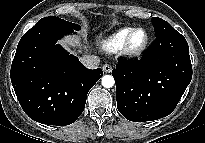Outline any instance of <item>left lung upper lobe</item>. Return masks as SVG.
Listing matches in <instances>:
<instances>
[{
	"instance_id": "left-lung-upper-lobe-1",
	"label": "left lung upper lobe",
	"mask_w": 205,
	"mask_h": 143,
	"mask_svg": "<svg viewBox=\"0 0 205 143\" xmlns=\"http://www.w3.org/2000/svg\"><path fill=\"white\" fill-rule=\"evenodd\" d=\"M152 22L155 28L156 37L175 31V29L171 25H169L165 20L159 17H153Z\"/></svg>"
}]
</instances>
